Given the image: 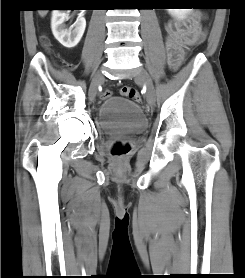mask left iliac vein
Returning <instances> with one entry per match:
<instances>
[{"mask_svg":"<svg viewBox=\"0 0 245 278\" xmlns=\"http://www.w3.org/2000/svg\"><path fill=\"white\" fill-rule=\"evenodd\" d=\"M134 79L136 82L145 84L147 89L146 100L150 105H153L155 102V89L147 71L142 68H138L134 75Z\"/></svg>","mask_w":245,"mask_h":278,"instance_id":"4c4485c4","label":"left iliac vein"}]
</instances>
